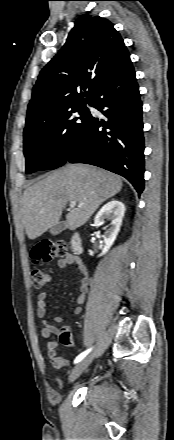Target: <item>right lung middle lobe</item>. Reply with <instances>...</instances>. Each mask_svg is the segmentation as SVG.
<instances>
[{"mask_svg": "<svg viewBox=\"0 0 174 440\" xmlns=\"http://www.w3.org/2000/svg\"><path fill=\"white\" fill-rule=\"evenodd\" d=\"M89 100L24 131L26 173L52 170L62 166L86 129Z\"/></svg>", "mask_w": 174, "mask_h": 440, "instance_id": "obj_1", "label": "right lung middle lobe"}]
</instances>
